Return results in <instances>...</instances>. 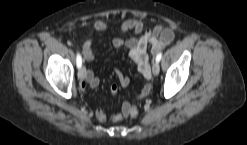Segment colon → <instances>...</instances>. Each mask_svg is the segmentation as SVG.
Listing matches in <instances>:
<instances>
[{"label":"colon","mask_w":247,"mask_h":145,"mask_svg":"<svg viewBox=\"0 0 247 145\" xmlns=\"http://www.w3.org/2000/svg\"><path fill=\"white\" fill-rule=\"evenodd\" d=\"M125 114H126V116H128L130 118H136L139 114L138 107L135 104L129 105Z\"/></svg>","instance_id":"colon-1"}]
</instances>
